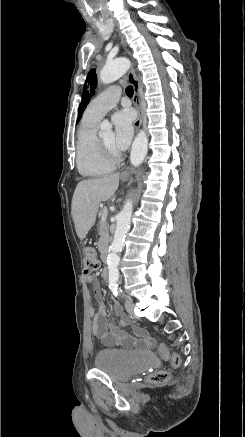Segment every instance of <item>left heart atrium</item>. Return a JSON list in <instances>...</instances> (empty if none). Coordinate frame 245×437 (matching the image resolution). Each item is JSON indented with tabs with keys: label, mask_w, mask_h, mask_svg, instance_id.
Instances as JSON below:
<instances>
[{
	"label": "left heart atrium",
	"mask_w": 245,
	"mask_h": 437,
	"mask_svg": "<svg viewBox=\"0 0 245 437\" xmlns=\"http://www.w3.org/2000/svg\"><path fill=\"white\" fill-rule=\"evenodd\" d=\"M134 115L131 110L124 109L112 117L114 125V148L121 152L128 148L133 135Z\"/></svg>",
	"instance_id": "left-heart-atrium-1"
}]
</instances>
